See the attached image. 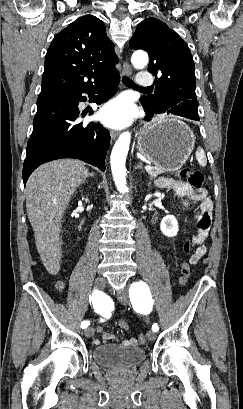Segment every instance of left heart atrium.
Returning a JSON list of instances; mask_svg holds the SVG:
<instances>
[{"mask_svg": "<svg viewBox=\"0 0 243 409\" xmlns=\"http://www.w3.org/2000/svg\"><path fill=\"white\" fill-rule=\"evenodd\" d=\"M133 118V108L130 102L119 97L107 103L100 112L101 121L109 127L121 128L127 126Z\"/></svg>", "mask_w": 243, "mask_h": 409, "instance_id": "1", "label": "left heart atrium"}]
</instances>
